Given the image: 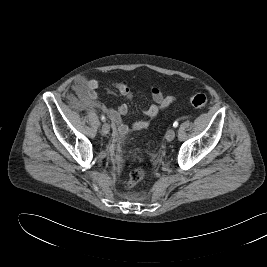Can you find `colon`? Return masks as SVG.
Instances as JSON below:
<instances>
[{
	"label": "colon",
	"mask_w": 267,
	"mask_h": 267,
	"mask_svg": "<svg viewBox=\"0 0 267 267\" xmlns=\"http://www.w3.org/2000/svg\"><path fill=\"white\" fill-rule=\"evenodd\" d=\"M190 103L197 109L204 108L207 104V97L202 93L194 94L190 97ZM146 176V171L142 166L134 168L126 181V187L131 189L140 183Z\"/></svg>",
	"instance_id": "obj_1"
}]
</instances>
